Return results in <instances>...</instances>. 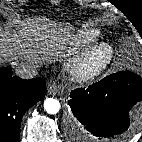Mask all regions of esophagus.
<instances>
[{
	"label": "esophagus",
	"instance_id": "34e87169",
	"mask_svg": "<svg viewBox=\"0 0 142 142\" xmlns=\"http://www.w3.org/2000/svg\"><path fill=\"white\" fill-rule=\"evenodd\" d=\"M59 86L57 85L56 82H52L48 86V93L50 95H56L58 93Z\"/></svg>",
	"mask_w": 142,
	"mask_h": 142
}]
</instances>
